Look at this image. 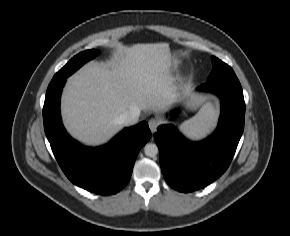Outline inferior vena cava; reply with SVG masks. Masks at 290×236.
Masks as SVG:
<instances>
[{
	"label": "inferior vena cava",
	"instance_id": "1",
	"mask_svg": "<svg viewBox=\"0 0 290 236\" xmlns=\"http://www.w3.org/2000/svg\"><path fill=\"white\" fill-rule=\"evenodd\" d=\"M139 115L140 111H138L137 109H132L120 115L119 121L125 126L132 125L138 121Z\"/></svg>",
	"mask_w": 290,
	"mask_h": 236
}]
</instances>
